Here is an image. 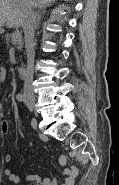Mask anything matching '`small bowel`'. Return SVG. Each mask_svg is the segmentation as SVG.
Wrapping results in <instances>:
<instances>
[{
    "mask_svg": "<svg viewBox=\"0 0 119 185\" xmlns=\"http://www.w3.org/2000/svg\"><path fill=\"white\" fill-rule=\"evenodd\" d=\"M7 79V71L5 68H0V82H5ZM2 113V108L0 109ZM10 130V123L8 120H3L1 123V133L3 135H7ZM4 161L6 163H10L12 161V156L10 154H6L4 156ZM62 166V175L64 178L63 183H59L57 180H53L50 178H42L39 174H29L22 178L18 174H16L12 169L6 168L4 170V174L8 177V179L14 183H19L23 179L29 182H40L42 185H74L75 178L78 174V170L76 167L67 168L65 166V159L60 158L59 160Z\"/></svg>",
    "mask_w": 119,
    "mask_h": 185,
    "instance_id": "1",
    "label": "small bowel"
}]
</instances>
